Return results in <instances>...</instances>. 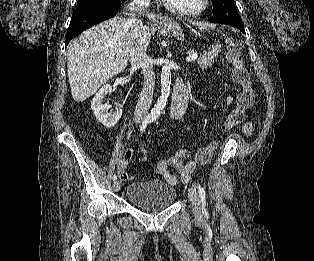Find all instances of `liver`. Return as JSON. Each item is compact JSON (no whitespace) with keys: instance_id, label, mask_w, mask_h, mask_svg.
I'll list each match as a JSON object with an SVG mask.
<instances>
[{"instance_id":"liver-1","label":"liver","mask_w":314,"mask_h":261,"mask_svg":"<svg viewBox=\"0 0 314 261\" xmlns=\"http://www.w3.org/2000/svg\"><path fill=\"white\" fill-rule=\"evenodd\" d=\"M126 22L114 17L83 32L70 44L67 69L75 101L91 97L104 83L126 68L129 53ZM150 40V28L143 27V49H147Z\"/></svg>"}]
</instances>
